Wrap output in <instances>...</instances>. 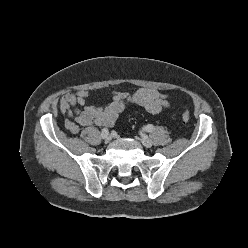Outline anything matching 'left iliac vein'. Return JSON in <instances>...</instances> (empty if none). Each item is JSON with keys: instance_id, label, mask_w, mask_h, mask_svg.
I'll use <instances>...</instances> for the list:
<instances>
[{"instance_id": "1", "label": "left iliac vein", "mask_w": 248, "mask_h": 248, "mask_svg": "<svg viewBox=\"0 0 248 248\" xmlns=\"http://www.w3.org/2000/svg\"><path fill=\"white\" fill-rule=\"evenodd\" d=\"M140 140L144 147L150 148L152 146V141L146 135L142 134Z\"/></svg>"}]
</instances>
